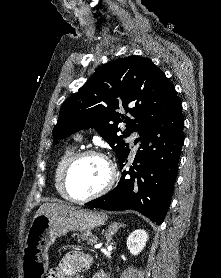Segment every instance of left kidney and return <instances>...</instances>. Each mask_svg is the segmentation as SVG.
Masks as SVG:
<instances>
[{
	"instance_id": "1",
	"label": "left kidney",
	"mask_w": 221,
	"mask_h": 278,
	"mask_svg": "<svg viewBox=\"0 0 221 278\" xmlns=\"http://www.w3.org/2000/svg\"><path fill=\"white\" fill-rule=\"evenodd\" d=\"M148 234L145 230L133 231L127 239V247L132 255H138L145 247Z\"/></svg>"
}]
</instances>
